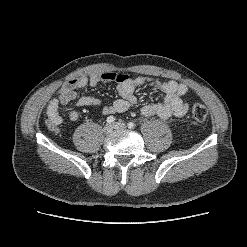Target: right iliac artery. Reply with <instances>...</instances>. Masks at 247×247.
Returning a JSON list of instances; mask_svg holds the SVG:
<instances>
[{"label": "right iliac artery", "instance_id": "82829eb1", "mask_svg": "<svg viewBox=\"0 0 247 247\" xmlns=\"http://www.w3.org/2000/svg\"><path fill=\"white\" fill-rule=\"evenodd\" d=\"M106 121H107L108 124H112L115 121V117L114 116H109Z\"/></svg>", "mask_w": 247, "mask_h": 247}]
</instances>
